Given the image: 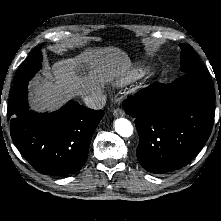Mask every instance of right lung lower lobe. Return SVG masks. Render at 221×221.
Here are the masks:
<instances>
[{"label":"right lung lower lobe","instance_id":"obj_1","mask_svg":"<svg viewBox=\"0 0 221 221\" xmlns=\"http://www.w3.org/2000/svg\"><path fill=\"white\" fill-rule=\"evenodd\" d=\"M28 81L9 93L7 119L15 146L41 174L67 175L84 165L92 135L104 116L69 101L52 113H36L27 104Z\"/></svg>","mask_w":221,"mask_h":221}]
</instances>
